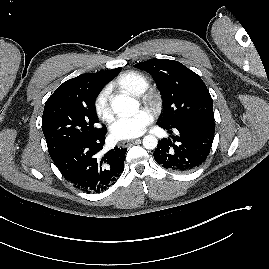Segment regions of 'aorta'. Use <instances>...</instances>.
<instances>
[{
    "instance_id": "obj_1",
    "label": "aorta",
    "mask_w": 269,
    "mask_h": 269,
    "mask_svg": "<svg viewBox=\"0 0 269 269\" xmlns=\"http://www.w3.org/2000/svg\"><path fill=\"white\" fill-rule=\"evenodd\" d=\"M113 111L121 117L133 116L137 113L139 103L128 95H117L111 100ZM158 140L154 135H146L143 138V146L146 149L153 150L157 147Z\"/></svg>"
}]
</instances>
